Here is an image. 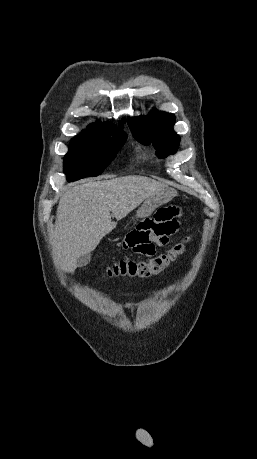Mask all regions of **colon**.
I'll return each instance as SVG.
<instances>
[{
    "label": "colon",
    "mask_w": 257,
    "mask_h": 459,
    "mask_svg": "<svg viewBox=\"0 0 257 459\" xmlns=\"http://www.w3.org/2000/svg\"><path fill=\"white\" fill-rule=\"evenodd\" d=\"M186 242L187 241L184 243L176 244L165 253L157 255L154 258H150L148 260H119L107 268L106 275L140 279L156 276L164 271L165 268H167L184 253Z\"/></svg>",
    "instance_id": "1"
}]
</instances>
